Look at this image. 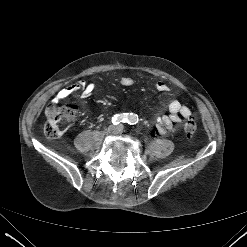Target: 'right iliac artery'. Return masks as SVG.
<instances>
[{"label":"right iliac artery","instance_id":"obj_1","mask_svg":"<svg viewBox=\"0 0 247 247\" xmlns=\"http://www.w3.org/2000/svg\"><path fill=\"white\" fill-rule=\"evenodd\" d=\"M128 113H122V114H117L114 115V117L112 118V122L117 125L119 123H124L128 121Z\"/></svg>","mask_w":247,"mask_h":247}]
</instances>
